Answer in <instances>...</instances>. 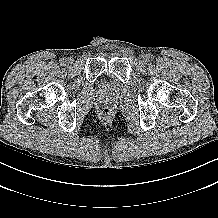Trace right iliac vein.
<instances>
[{"label": "right iliac vein", "instance_id": "obj_1", "mask_svg": "<svg viewBox=\"0 0 218 218\" xmlns=\"http://www.w3.org/2000/svg\"><path fill=\"white\" fill-rule=\"evenodd\" d=\"M72 62H73V59L72 58H67L66 60H65V64H72Z\"/></svg>", "mask_w": 218, "mask_h": 218}]
</instances>
